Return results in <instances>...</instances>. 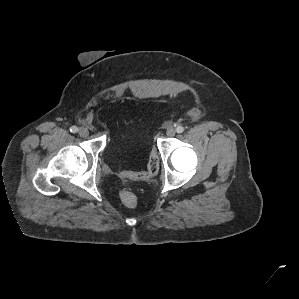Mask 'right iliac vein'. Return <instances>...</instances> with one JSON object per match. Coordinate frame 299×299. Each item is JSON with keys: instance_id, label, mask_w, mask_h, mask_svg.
<instances>
[{"instance_id": "63e3f726", "label": "right iliac vein", "mask_w": 299, "mask_h": 299, "mask_svg": "<svg viewBox=\"0 0 299 299\" xmlns=\"http://www.w3.org/2000/svg\"><path fill=\"white\" fill-rule=\"evenodd\" d=\"M78 134L81 137H86V136H88L89 131L86 128H80L79 131H78Z\"/></svg>"}]
</instances>
